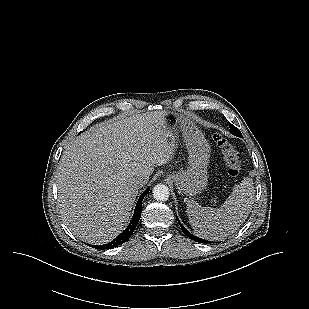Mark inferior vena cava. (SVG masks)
I'll list each match as a JSON object with an SVG mask.
<instances>
[{
  "mask_svg": "<svg viewBox=\"0 0 309 309\" xmlns=\"http://www.w3.org/2000/svg\"><path fill=\"white\" fill-rule=\"evenodd\" d=\"M147 183V180L145 177L143 176H138V177H135L133 180H132V184L138 188H141L143 185H145Z\"/></svg>",
  "mask_w": 309,
  "mask_h": 309,
  "instance_id": "obj_1",
  "label": "inferior vena cava"
}]
</instances>
